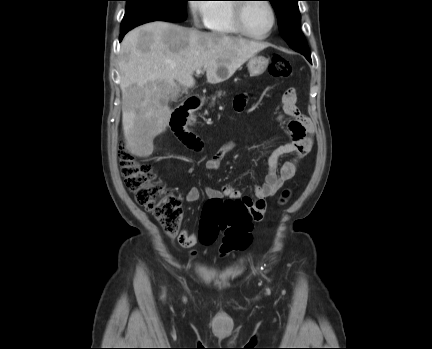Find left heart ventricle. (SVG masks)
I'll return each mask as SVG.
<instances>
[{
    "label": "left heart ventricle",
    "mask_w": 432,
    "mask_h": 349,
    "mask_svg": "<svg viewBox=\"0 0 432 349\" xmlns=\"http://www.w3.org/2000/svg\"><path fill=\"white\" fill-rule=\"evenodd\" d=\"M244 21L251 33L262 35L269 30L272 24L271 12L263 2L251 3L245 9Z\"/></svg>",
    "instance_id": "left-heart-ventricle-1"
}]
</instances>
